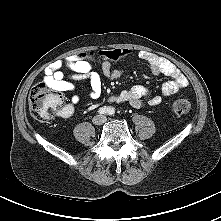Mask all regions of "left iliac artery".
<instances>
[{
	"label": "left iliac artery",
	"mask_w": 221,
	"mask_h": 221,
	"mask_svg": "<svg viewBox=\"0 0 221 221\" xmlns=\"http://www.w3.org/2000/svg\"><path fill=\"white\" fill-rule=\"evenodd\" d=\"M114 113H115L114 108H109V109H108V114H109V115H113Z\"/></svg>",
	"instance_id": "obj_1"
}]
</instances>
